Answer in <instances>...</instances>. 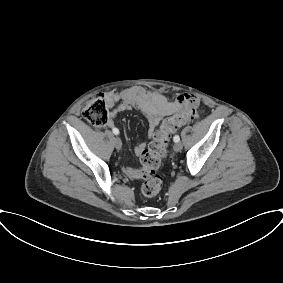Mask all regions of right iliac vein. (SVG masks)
<instances>
[{
	"label": "right iliac vein",
	"mask_w": 283,
	"mask_h": 283,
	"mask_svg": "<svg viewBox=\"0 0 283 283\" xmlns=\"http://www.w3.org/2000/svg\"><path fill=\"white\" fill-rule=\"evenodd\" d=\"M114 145L116 147V149L120 150L122 147V141L119 137H115L114 138Z\"/></svg>",
	"instance_id": "obj_1"
}]
</instances>
